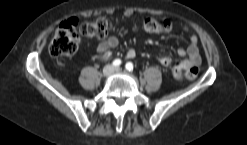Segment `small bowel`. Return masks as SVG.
<instances>
[{
    "mask_svg": "<svg viewBox=\"0 0 247 145\" xmlns=\"http://www.w3.org/2000/svg\"><path fill=\"white\" fill-rule=\"evenodd\" d=\"M119 44V40L115 36H110L107 39L100 42L97 46V51L99 54L107 55L108 51L117 47ZM177 54L180 57L187 56L186 59L182 60L181 66L185 70H190L192 68H198L199 64L201 63V57L198 49V39L196 35H191L189 38V45L187 48H179L177 50ZM136 55V52L134 49H129L126 53V57L128 59L134 58ZM165 60H168L171 62V59L169 57H162L160 62L163 66H168L164 63Z\"/></svg>",
    "mask_w": 247,
    "mask_h": 145,
    "instance_id": "1",
    "label": "small bowel"
}]
</instances>
